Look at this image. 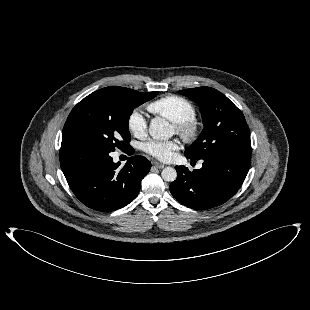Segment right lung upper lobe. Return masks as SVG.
Here are the masks:
<instances>
[{"mask_svg":"<svg viewBox=\"0 0 310 310\" xmlns=\"http://www.w3.org/2000/svg\"><path fill=\"white\" fill-rule=\"evenodd\" d=\"M121 88H123V87H121ZM123 89L128 90V91H134V92H137V91H135V90L128 89V88H123Z\"/></svg>","mask_w":310,"mask_h":310,"instance_id":"obj_1","label":"right lung upper lobe"}]
</instances>
